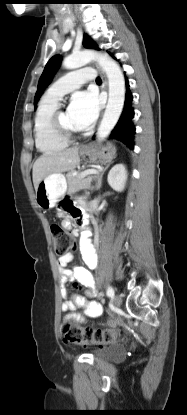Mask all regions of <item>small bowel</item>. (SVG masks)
I'll return each mask as SVG.
<instances>
[{"label":"small bowel","mask_w":187,"mask_h":415,"mask_svg":"<svg viewBox=\"0 0 187 415\" xmlns=\"http://www.w3.org/2000/svg\"><path fill=\"white\" fill-rule=\"evenodd\" d=\"M61 212L62 215L66 214L63 220V225L68 229L72 227V221H77L79 218L84 217L79 208L66 203L62 205ZM81 253L86 265L90 269L95 268L97 264V255L94 247L89 241L86 240L82 242ZM73 259V253H67L66 255L60 256L58 259L59 277L62 285L61 294L63 298H65V301L62 304V309L63 311L68 312L70 316L78 319L80 318V315L77 312L79 308H83L84 314L88 317H100L103 313V307L99 302L93 300V298L99 295V291L95 286L94 278L91 272L86 268H68V265L73 261ZM73 280H76L80 285L87 288L84 296L71 293L66 288V283Z\"/></svg>","instance_id":"1"}]
</instances>
